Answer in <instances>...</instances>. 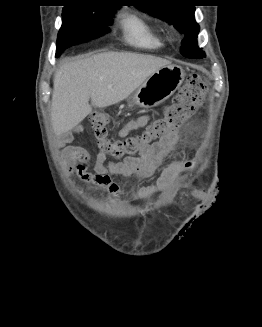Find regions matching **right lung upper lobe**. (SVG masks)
<instances>
[{"label": "right lung upper lobe", "mask_w": 262, "mask_h": 327, "mask_svg": "<svg viewBox=\"0 0 262 327\" xmlns=\"http://www.w3.org/2000/svg\"><path fill=\"white\" fill-rule=\"evenodd\" d=\"M68 1L70 3H75V4H87V5H94V6H98V7H110V8H116V9L119 8V6H111L109 4H105V3H109V0H68ZM75 4H72V5H75ZM65 7H67V6H65Z\"/></svg>", "instance_id": "right-lung-upper-lobe-1"}]
</instances>
